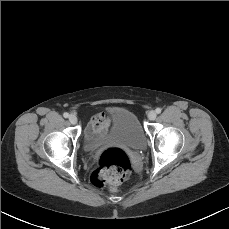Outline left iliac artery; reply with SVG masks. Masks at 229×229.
<instances>
[{
    "mask_svg": "<svg viewBox=\"0 0 229 229\" xmlns=\"http://www.w3.org/2000/svg\"><path fill=\"white\" fill-rule=\"evenodd\" d=\"M155 111H156L157 114H159V113H161L162 110H161V108H156Z\"/></svg>",
    "mask_w": 229,
    "mask_h": 229,
    "instance_id": "left-iliac-artery-1",
    "label": "left iliac artery"
}]
</instances>
